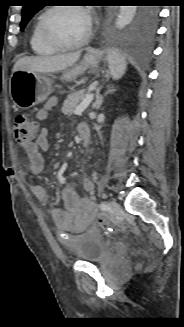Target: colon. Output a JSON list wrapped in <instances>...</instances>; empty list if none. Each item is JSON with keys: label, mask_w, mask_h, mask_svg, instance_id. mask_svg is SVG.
Wrapping results in <instances>:
<instances>
[{"label": "colon", "mask_w": 184, "mask_h": 327, "mask_svg": "<svg viewBox=\"0 0 184 327\" xmlns=\"http://www.w3.org/2000/svg\"><path fill=\"white\" fill-rule=\"evenodd\" d=\"M12 131L17 144L26 148L35 142L39 127L36 121L24 114H19L13 119ZM97 221L100 225L109 224L104 215H98Z\"/></svg>", "instance_id": "5ec220e1"}]
</instances>
